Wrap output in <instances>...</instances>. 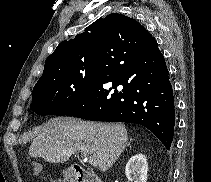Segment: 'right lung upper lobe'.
Returning a JSON list of instances; mask_svg holds the SVG:
<instances>
[{"mask_svg":"<svg viewBox=\"0 0 211 182\" xmlns=\"http://www.w3.org/2000/svg\"><path fill=\"white\" fill-rule=\"evenodd\" d=\"M105 37L138 42L152 38L136 20L117 13L109 14L96 20L74 39L61 42L46 59L43 74L36 85L96 66L100 44Z\"/></svg>","mask_w":211,"mask_h":182,"instance_id":"obj_1","label":"right lung upper lobe"}]
</instances>
